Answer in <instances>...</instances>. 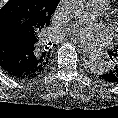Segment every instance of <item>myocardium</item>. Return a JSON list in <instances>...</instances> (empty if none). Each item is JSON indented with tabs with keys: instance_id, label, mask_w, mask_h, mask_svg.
Returning <instances> with one entry per match:
<instances>
[{
	"instance_id": "obj_1",
	"label": "myocardium",
	"mask_w": 118,
	"mask_h": 118,
	"mask_svg": "<svg viewBox=\"0 0 118 118\" xmlns=\"http://www.w3.org/2000/svg\"><path fill=\"white\" fill-rule=\"evenodd\" d=\"M112 30L116 36H118V21L112 22Z\"/></svg>"
}]
</instances>
